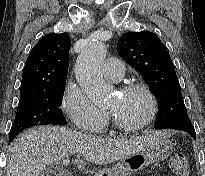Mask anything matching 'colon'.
I'll return each instance as SVG.
<instances>
[{
  "mask_svg": "<svg viewBox=\"0 0 205 176\" xmlns=\"http://www.w3.org/2000/svg\"><path fill=\"white\" fill-rule=\"evenodd\" d=\"M169 166L176 176H188V162L184 154L174 153L170 158Z\"/></svg>",
  "mask_w": 205,
  "mask_h": 176,
  "instance_id": "colon-1",
  "label": "colon"
}]
</instances>
